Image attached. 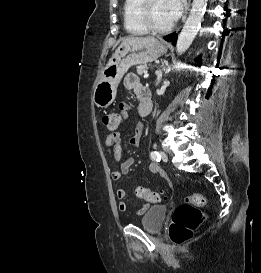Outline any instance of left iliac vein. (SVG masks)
<instances>
[{"label": "left iliac vein", "mask_w": 261, "mask_h": 273, "mask_svg": "<svg viewBox=\"0 0 261 273\" xmlns=\"http://www.w3.org/2000/svg\"><path fill=\"white\" fill-rule=\"evenodd\" d=\"M160 155H161V158H162L163 161H167L168 160V156H167V154L164 151H161Z\"/></svg>", "instance_id": "4c4485c4"}]
</instances>
